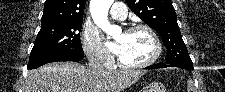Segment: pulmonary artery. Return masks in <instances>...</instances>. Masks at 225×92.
<instances>
[{"label": "pulmonary artery", "instance_id": "e3ab8cb5", "mask_svg": "<svg viewBox=\"0 0 225 92\" xmlns=\"http://www.w3.org/2000/svg\"><path fill=\"white\" fill-rule=\"evenodd\" d=\"M110 15L117 20H124L127 16V7L123 2H114L110 9Z\"/></svg>", "mask_w": 225, "mask_h": 92}]
</instances>
